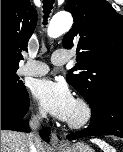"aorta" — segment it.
Here are the masks:
<instances>
[{
    "label": "aorta",
    "mask_w": 123,
    "mask_h": 152,
    "mask_svg": "<svg viewBox=\"0 0 123 152\" xmlns=\"http://www.w3.org/2000/svg\"><path fill=\"white\" fill-rule=\"evenodd\" d=\"M73 24L71 14L67 12H60L53 16L51 19L47 33L51 38H57L70 30Z\"/></svg>",
    "instance_id": "obj_1"
}]
</instances>
